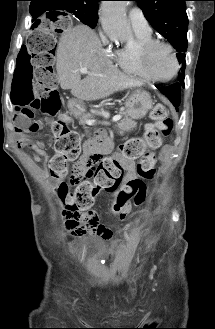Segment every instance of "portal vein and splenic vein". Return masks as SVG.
Returning <instances> with one entry per match:
<instances>
[{"label":"portal vein and splenic vein","mask_w":215,"mask_h":329,"mask_svg":"<svg viewBox=\"0 0 215 329\" xmlns=\"http://www.w3.org/2000/svg\"><path fill=\"white\" fill-rule=\"evenodd\" d=\"M80 72L82 74H88L89 73V71H88V69L86 67L80 68ZM121 118H122L121 115H115L112 118V121L116 122V121H119ZM94 123H95V120H90V119L89 120H86V124H88V125H93Z\"/></svg>","instance_id":"portal-vein-and-splenic-vein-1"}]
</instances>
